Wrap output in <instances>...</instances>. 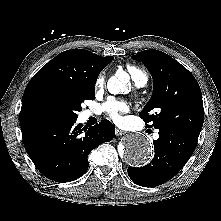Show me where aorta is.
I'll list each match as a JSON object with an SVG mask.
<instances>
[{"label": "aorta", "instance_id": "762f6f07", "mask_svg": "<svg viewBox=\"0 0 221 221\" xmlns=\"http://www.w3.org/2000/svg\"><path fill=\"white\" fill-rule=\"evenodd\" d=\"M129 75L123 70H118L107 82L111 94H124L129 91ZM120 156L129 164L142 166L152 157V145L147 137L141 133L128 135L121 144Z\"/></svg>", "mask_w": 221, "mask_h": 221}]
</instances>
